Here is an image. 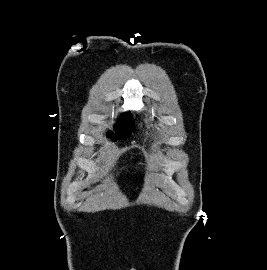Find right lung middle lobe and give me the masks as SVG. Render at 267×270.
<instances>
[{
    "instance_id": "dd1d6c3e",
    "label": "right lung middle lobe",
    "mask_w": 267,
    "mask_h": 270,
    "mask_svg": "<svg viewBox=\"0 0 267 270\" xmlns=\"http://www.w3.org/2000/svg\"><path fill=\"white\" fill-rule=\"evenodd\" d=\"M134 121L130 113L123 115L121 120L115 126L116 134H111L113 140L126 139L132 132Z\"/></svg>"
}]
</instances>
